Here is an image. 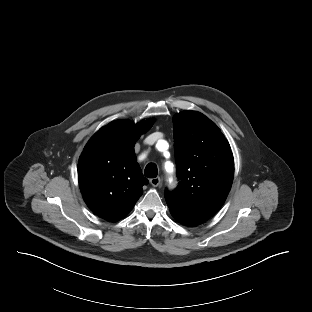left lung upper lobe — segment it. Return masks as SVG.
Returning <instances> with one entry per match:
<instances>
[{"instance_id":"5c2ea615","label":"left lung upper lobe","mask_w":312,"mask_h":312,"mask_svg":"<svg viewBox=\"0 0 312 312\" xmlns=\"http://www.w3.org/2000/svg\"><path fill=\"white\" fill-rule=\"evenodd\" d=\"M179 186L165 198L175 219L197 225L223 205L234 175L231 147L220 129L197 111L173 118Z\"/></svg>"}]
</instances>
